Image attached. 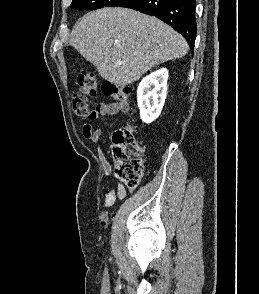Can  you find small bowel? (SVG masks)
I'll return each mask as SVG.
<instances>
[{
    "label": "small bowel",
    "mask_w": 259,
    "mask_h": 294,
    "mask_svg": "<svg viewBox=\"0 0 259 294\" xmlns=\"http://www.w3.org/2000/svg\"><path fill=\"white\" fill-rule=\"evenodd\" d=\"M128 106L125 102H112V103H104L101 102L97 104L94 109V113L90 120H95L102 116H111L120 113L126 112ZM83 136L87 140H90L93 143H99L102 138V130L94 129L90 123H85L82 128ZM98 156L101 162V167L103 170V174L105 176H109L111 172V167L108 161L105 158V155L101 149H98ZM126 196L125 187L119 183L115 187H113L106 195L104 199V204L106 207H111L115 204L116 200H122Z\"/></svg>",
    "instance_id": "c3829d8e"
}]
</instances>
